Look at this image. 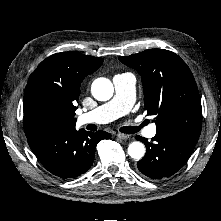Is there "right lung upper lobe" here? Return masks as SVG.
<instances>
[{
  "label": "right lung upper lobe",
  "instance_id": "obj_1",
  "mask_svg": "<svg viewBox=\"0 0 221 221\" xmlns=\"http://www.w3.org/2000/svg\"><path fill=\"white\" fill-rule=\"evenodd\" d=\"M102 63V58L78 52L57 53L42 61L30 75L25 88L24 130L45 125L30 114V103L36 99H44L53 106L56 112L53 126L75 128V102L79 99L80 84Z\"/></svg>",
  "mask_w": 221,
  "mask_h": 221
}]
</instances>
